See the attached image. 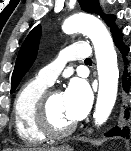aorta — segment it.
I'll list each match as a JSON object with an SVG mask.
<instances>
[{"instance_id":"aorta-1","label":"aorta","mask_w":131,"mask_h":151,"mask_svg":"<svg viewBox=\"0 0 131 151\" xmlns=\"http://www.w3.org/2000/svg\"><path fill=\"white\" fill-rule=\"evenodd\" d=\"M62 28L65 33L80 32L87 35L94 45L99 90L93 117L95 124L100 126L109 118L117 97L119 70L113 40L105 25L89 14L69 17Z\"/></svg>"}]
</instances>
